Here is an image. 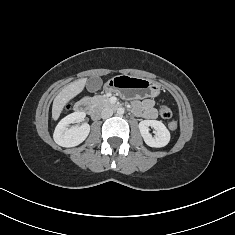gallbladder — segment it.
Returning <instances> with one entry per match:
<instances>
[{
    "label": "gallbladder",
    "instance_id": "1",
    "mask_svg": "<svg viewBox=\"0 0 235 235\" xmlns=\"http://www.w3.org/2000/svg\"><path fill=\"white\" fill-rule=\"evenodd\" d=\"M102 86V79L100 77H92L87 81V90L89 92H95Z\"/></svg>",
    "mask_w": 235,
    "mask_h": 235
}]
</instances>
